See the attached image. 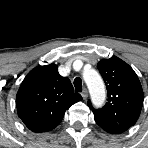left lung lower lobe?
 <instances>
[{
    "label": "left lung lower lobe",
    "mask_w": 148,
    "mask_h": 148,
    "mask_svg": "<svg viewBox=\"0 0 148 148\" xmlns=\"http://www.w3.org/2000/svg\"><path fill=\"white\" fill-rule=\"evenodd\" d=\"M107 132L112 133V134H117V133H114V132H112V131H107Z\"/></svg>",
    "instance_id": "1"
}]
</instances>
